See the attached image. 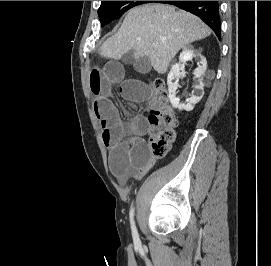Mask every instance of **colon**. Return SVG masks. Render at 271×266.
Wrapping results in <instances>:
<instances>
[{"label":"colon","mask_w":271,"mask_h":266,"mask_svg":"<svg viewBox=\"0 0 271 266\" xmlns=\"http://www.w3.org/2000/svg\"><path fill=\"white\" fill-rule=\"evenodd\" d=\"M150 87L155 94L151 103L149 122V150L156 158L164 157L171 148L176 134L177 117L170 104L168 91L161 78H154Z\"/></svg>","instance_id":"obj_1"}]
</instances>
